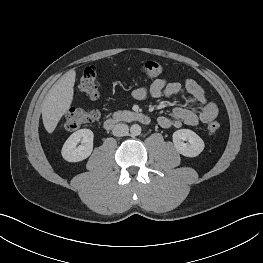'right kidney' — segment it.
I'll return each mask as SVG.
<instances>
[{
    "instance_id": "obj_1",
    "label": "right kidney",
    "mask_w": 263,
    "mask_h": 263,
    "mask_svg": "<svg viewBox=\"0 0 263 263\" xmlns=\"http://www.w3.org/2000/svg\"><path fill=\"white\" fill-rule=\"evenodd\" d=\"M94 134L90 129H80L65 141L61 154L68 162H79L88 158L93 150ZM80 141L81 145L77 146Z\"/></svg>"
}]
</instances>
